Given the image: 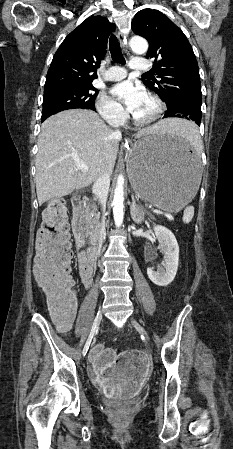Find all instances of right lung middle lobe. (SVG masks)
Masks as SVG:
<instances>
[{
	"mask_svg": "<svg viewBox=\"0 0 233 449\" xmlns=\"http://www.w3.org/2000/svg\"><path fill=\"white\" fill-rule=\"evenodd\" d=\"M98 94L93 85L64 87L44 93L41 120L67 109L83 108L95 110Z\"/></svg>",
	"mask_w": 233,
	"mask_h": 449,
	"instance_id": "dd1d6c3e",
	"label": "right lung middle lobe"
}]
</instances>
